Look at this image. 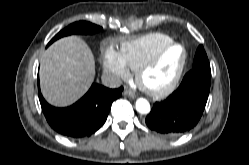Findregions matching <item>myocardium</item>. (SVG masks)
<instances>
[{"label":"myocardium","instance_id":"1","mask_svg":"<svg viewBox=\"0 0 249 165\" xmlns=\"http://www.w3.org/2000/svg\"><path fill=\"white\" fill-rule=\"evenodd\" d=\"M174 48H180L182 50V56L179 60L178 64L175 67L174 72L170 79L161 85L151 86L145 82V76L148 72H150L155 67L159 66L165 56ZM188 53L186 47L179 42H171L163 49H161L154 57L147 59L144 61L136 70H135V77L138 86L145 91L146 93L155 96V97H162L169 93H171L182 77L184 72L186 63H187Z\"/></svg>","mask_w":249,"mask_h":165}]
</instances>
